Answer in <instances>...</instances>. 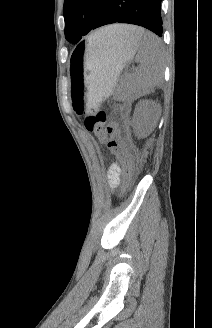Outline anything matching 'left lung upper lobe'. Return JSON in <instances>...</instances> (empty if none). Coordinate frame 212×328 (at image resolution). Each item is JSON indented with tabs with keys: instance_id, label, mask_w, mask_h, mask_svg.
I'll return each mask as SVG.
<instances>
[{
	"instance_id": "1",
	"label": "left lung upper lobe",
	"mask_w": 212,
	"mask_h": 328,
	"mask_svg": "<svg viewBox=\"0 0 212 328\" xmlns=\"http://www.w3.org/2000/svg\"><path fill=\"white\" fill-rule=\"evenodd\" d=\"M103 0H65V38L78 43L94 25Z\"/></svg>"
}]
</instances>
